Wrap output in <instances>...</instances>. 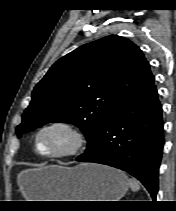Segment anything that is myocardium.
<instances>
[{
  "label": "myocardium",
  "instance_id": "1",
  "mask_svg": "<svg viewBox=\"0 0 176 211\" xmlns=\"http://www.w3.org/2000/svg\"><path fill=\"white\" fill-rule=\"evenodd\" d=\"M50 130H59L65 133L70 144L66 149L54 152H42L38 147L39 137ZM86 138L84 133L74 124L65 120H52L39 126L33 136V146L37 155L46 159H59L77 155L85 146Z\"/></svg>",
  "mask_w": 176,
  "mask_h": 211
}]
</instances>
